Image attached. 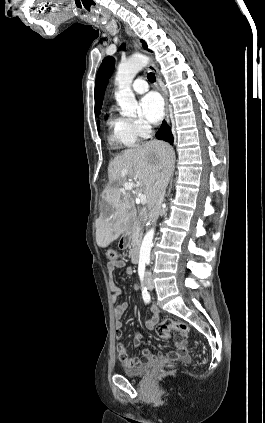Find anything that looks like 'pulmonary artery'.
Wrapping results in <instances>:
<instances>
[{"instance_id":"pulmonary-artery-1","label":"pulmonary artery","mask_w":265,"mask_h":423,"mask_svg":"<svg viewBox=\"0 0 265 423\" xmlns=\"http://www.w3.org/2000/svg\"><path fill=\"white\" fill-rule=\"evenodd\" d=\"M132 89L137 94H143L148 91L149 87L144 79L138 78L133 82Z\"/></svg>"}]
</instances>
